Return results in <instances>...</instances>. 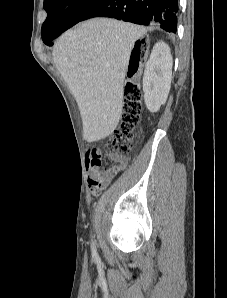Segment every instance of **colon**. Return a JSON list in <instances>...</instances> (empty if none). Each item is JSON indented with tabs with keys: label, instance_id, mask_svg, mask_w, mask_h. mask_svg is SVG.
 Returning a JSON list of instances; mask_svg holds the SVG:
<instances>
[{
	"label": "colon",
	"instance_id": "obj_1",
	"mask_svg": "<svg viewBox=\"0 0 227 298\" xmlns=\"http://www.w3.org/2000/svg\"><path fill=\"white\" fill-rule=\"evenodd\" d=\"M146 41L141 42V46ZM139 58H133L129 65V75L132 76L138 68ZM142 90L140 86L128 80L124 88V104L121 126L113 131L106 141V146L112 154H127L133 147V131L139 121L141 111ZM99 182L94 181L91 186L96 187Z\"/></svg>",
	"mask_w": 227,
	"mask_h": 298
}]
</instances>
